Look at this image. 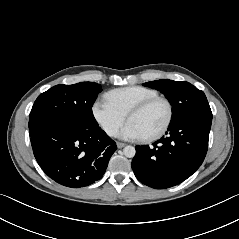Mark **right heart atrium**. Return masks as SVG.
Instances as JSON below:
<instances>
[{
    "mask_svg": "<svg viewBox=\"0 0 239 239\" xmlns=\"http://www.w3.org/2000/svg\"><path fill=\"white\" fill-rule=\"evenodd\" d=\"M92 113L98 125L109 136H115L126 119V115L105 98L94 102Z\"/></svg>",
    "mask_w": 239,
    "mask_h": 239,
    "instance_id": "right-heart-atrium-1",
    "label": "right heart atrium"
}]
</instances>
